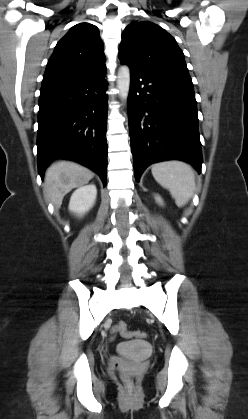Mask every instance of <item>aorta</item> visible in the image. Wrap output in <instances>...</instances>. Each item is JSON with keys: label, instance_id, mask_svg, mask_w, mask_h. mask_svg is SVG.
Masks as SVG:
<instances>
[{"label": "aorta", "instance_id": "aorta-1", "mask_svg": "<svg viewBox=\"0 0 248 419\" xmlns=\"http://www.w3.org/2000/svg\"><path fill=\"white\" fill-rule=\"evenodd\" d=\"M117 88L119 90L120 99L126 101L130 89V69L126 65L121 66L118 70Z\"/></svg>", "mask_w": 248, "mask_h": 419}]
</instances>
